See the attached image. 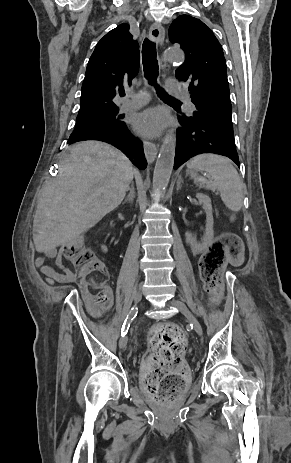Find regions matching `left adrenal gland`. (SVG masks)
Listing matches in <instances>:
<instances>
[{
    "label": "left adrenal gland",
    "instance_id": "a2214340",
    "mask_svg": "<svg viewBox=\"0 0 291 463\" xmlns=\"http://www.w3.org/2000/svg\"><path fill=\"white\" fill-rule=\"evenodd\" d=\"M181 183H183V180H182L181 176H179V179H178V181H177V188H176L177 191L180 189Z\"/></svg>",
    "mask_w": 291,
    "mask_h": 463
}]
</instances>
